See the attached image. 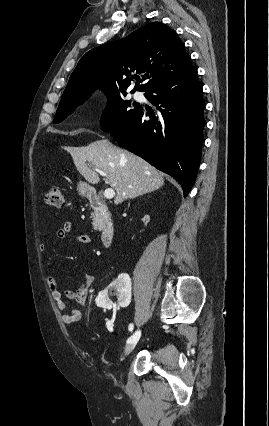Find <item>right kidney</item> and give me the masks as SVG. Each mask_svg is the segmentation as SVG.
<instances>
[{
  "label": "right kidney",
  "mask_w": 269,
  "mask_h": 426,
  "mask_svg": "<svg viewBox=\"0 0 269 426\" xmlns=\"http://www.w3.org/2000/svg\"><path fill=\"white\" fill-rule=\"evenodd\" d=\"M150 217L149 215L142 216L141 220L143 221V229H148V221ZM129 276L127 273H120L118 276V280L110 284V286H105L103 288V292L99 294L98 298L96 299V303L98 306H101V309L103 311H110L112 309V304L107 299L106 295H114L115 288L117 289L118 293V299L115 301L114 309L116 311H126L127 308L131 304V297H132V289H131V283L128 281Z\"/></svg>",
  "instance_id": "obj_1"
}]
</instances>
